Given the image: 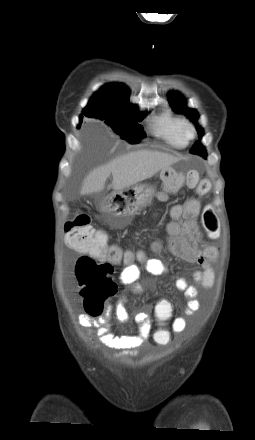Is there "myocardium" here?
<instances>
[{
  "label": "myocardium",
  "instance_id": "1",
  "mask_svg": "<svg viewBox=\"0 0 255 440\" xmlns=\"http://www.w3.org/2000/svg\"><path fill=\"white\" fill-rule=\"evenodd\" d=\"M181 134L186 141H190L196 136V128L191 122L184 121Z\"/></svg>",
  "mask_w": 255,
  "mask_h": 440
}]
</instances>
